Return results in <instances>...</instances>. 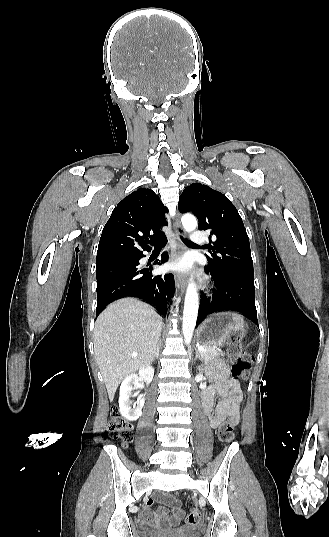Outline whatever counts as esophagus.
<instances>
[{"instance_id":"34e87169","label":"esophagus","mask_w":329,"mask_h":537,"mask_svg":"<svg viewBox=\"0 0 329 537\" xmlns=\"http://www.w3.org/2000/svg\"><path fill=\"white\" fill-rule=\"evenodd\" d=\"M174 227H175V234H176V240H177V245H178V252L176 254V257H178L180 255V253H182V251L184 249L182 244L180 243V236L183 235L184 229H183V227L181 225V222H180V213L179 212H177V214L175 216ZM175 279H176L177 284L181 287V291L184 292L185 287H186V277H185V275L180 274V273H176Z\"/></svg>"}]
</instances>
